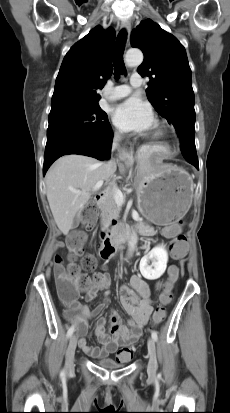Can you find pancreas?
<instances>
[{"label":"pancreas","instance_id":"pancreas-1","mask_svg":"<svg viewBox=\"0 0 230 413\" xmlns=\"http://www.w3.org/2000/svg\"><path fill=\"white\" fill-rule=\"evenodd\" d=\"M115 188H117L115 184L112 185V188H108L105 192L104 198L99 204L103 222H110L119 217L118 206L113 197ZM138 220V225L142 227V234L144 236H153L156 234V231L152 227L146 225L140 218Z\"/></svg>","mask_w":230,"mask_h":413}]
</instances>
